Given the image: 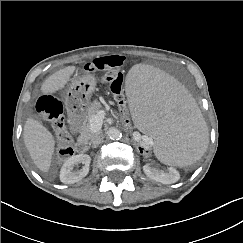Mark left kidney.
<instances>
[{
  "label": "left kidney",
  "mask_w": 243,
  "mask_h": 243,
  "mask_svg": "<svg viewBox=\"0 0 243 243\" xmlns=\"http://www.w3.org/2000/svg\"><path fill=\"white\" fill-rule=\"evenodd\" d=\"M143 171L148 178L158 181L162 184H173L180 179L179 172L174 167H169L167 172L158 170L155 167L146 164L143 166Z\"/></svg>",
  "instance_id": "5707ae66"
}]
</instances>
